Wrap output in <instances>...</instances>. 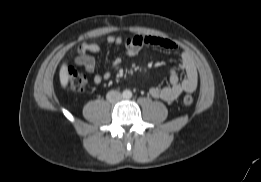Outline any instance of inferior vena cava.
I'll return each mask as SVG.
<instances>
[{"label": "inferior vena cava", "instance_id": "inferior-vena-cava-1", "mask_svg": "<svg viewBox=\"0 0 261 182\" xmlns=\"http://www.w3.org/2000/svg\"><path fill=\"white\" fill-rule=\"evenodd\" d=\"M106 99L110 103H116L122 99V94L118 91H109L106 95Z\"/></svg>", "mask_w": 261, "mask_h": 182}]
</instances>
